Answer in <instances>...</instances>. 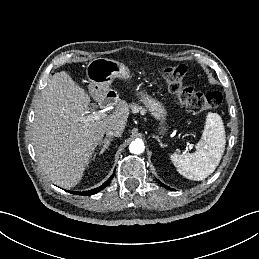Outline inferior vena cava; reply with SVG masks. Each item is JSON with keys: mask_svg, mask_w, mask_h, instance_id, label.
Segmentation results:
<instances>
[{"mask_svg": "<svg viewBox=\"0 0 259 259\" xmlns=\"http://www.w3.org/2000/svg\"><path fill=\"white\" fill-rule=\"evenodd\" d=\"M106 135L108 137H112V136L120 137L122 135V131L118 128H110L106 130Z\"/></svg>", "mask_w": 259, "mask_h": 259, "instance_id": "1", "label": "inferior vena cava"}]
</instances>
